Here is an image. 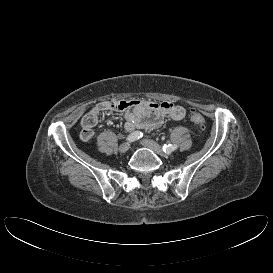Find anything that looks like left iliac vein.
I'll use <instances>...</instances> for the list:
<instances>
[{"label": "left iliac vein", "mask_w": 273, "mask_h": 273, "mask_svg": "<svg viewBox=\"0 0 273 273\" xmlns=\"http://www.w3.org/2000/svg\"><path fill=\"white\" fill-rule=\"evenodd\" d=\"M141 144L152 151H154L156 154L159 156H165L166 154L164 153L163 149L161 148L160 145H158L156 142L149 140V139H144L141 141Z\"/></svg>", "instance_id": "1"}]
</instances>
